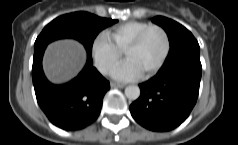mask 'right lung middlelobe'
I'll return each instance as SVG.
<instances>
[{
  "label": "right lung middle lobe",
  "mask_w": 238,
  "mask_h": 145,
  "mask_svg": "<svg viewBox=\"0 0 238 145\" xmlns=\"http://www.w3.org/2000/svg\"><path fill=\"white\" fill-rule=\"evenodd\" d=\"M117 21L82 11L59 16L45 26L35 41L34 49L57 39L73 38L82 43L87 54L91 55L93 42L99 32Z\"/></svg>",
  "instance_id": "right-lung-middle-lobe-1"
}]
</instances>
